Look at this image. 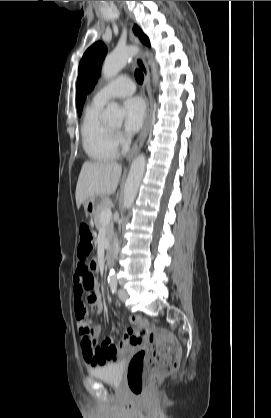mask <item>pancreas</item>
Here are the masks:
<instances>
[{
	"label": "pancreas",
	"mask_w": 271,
	"mask_h": 418,
	"mask_svg": "<svg viewBox=\"0 0 271 418\" xmlns=\"http://www.w3.org/2000/svg\"><path fill=\"white\" fill-rule=\"evenodd\" d=\"M110 203L109 200L106 198H103L99 204V206L97 207L96 211L94 212L93 216H94V223L96 228L99 230L102 228L103 223L100 220V216L102 211L109 207ZM105 230H106V238L109 241L111 239L112 233H113V222L109 221L106 223L105 225Z\"/></svg>",
	"instance_id": "obj_1"
}]
</instances>
